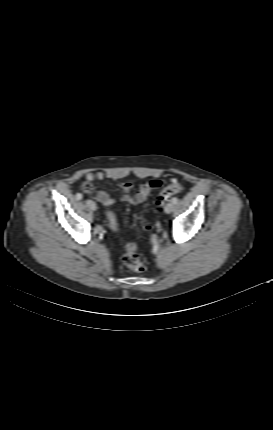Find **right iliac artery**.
Segmentation results:
<instances>
[{"label":"right iliac artery","mask_w":273,"mask_h":430,"mask_svg":"<svg viewBox=\"0 0 273 430\" xmlns=\"http://www.w3.org/2000/svg\"><path fill=\"white\" fill-rule=\"evenodd\" d=\"M83 198V195L81 193L76 194V199L81 200Z\"/></svg>","instance_id":"obj_1"}]
</instances>
